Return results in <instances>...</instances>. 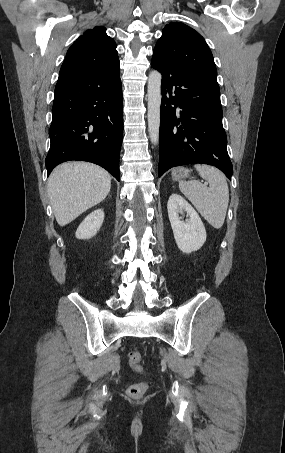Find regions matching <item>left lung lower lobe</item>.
I'll list each match as a JSON object with an SVG mask.
<instances>
[{
	"instance_id": "obj_1",
	"label": "left lung lower lobe",
	"mask_w": 285,
	"mask_h": 453,
	"mask_svg": "<svg viewBox=\"0 0 285 453\" xmlns=\"http://www.w3.org/2000/svg\"><path fill=\"white\" fill-rule=\"evenodd\" d=\"M151 66L162 74L159 177L174 166L201 163L219 168L231 179L220 89L156 54Z\"/></svg>"
}]
</instances>
